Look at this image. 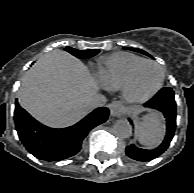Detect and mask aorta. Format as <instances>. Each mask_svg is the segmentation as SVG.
<instances>
[{
	"mask_svg": "<svg viewBox=\"0 0 194 193\" xmlns=\"http://www.w3.org/2000/svg\"><path fill=\"white\" fill-rule=\"evenodd\" d=\"M113 130L116 136L125 139L131 135V125L127 120H118L113 126Z\"/></svg>",
	"mask_w": 194,
	"mask_h": 193,
	"instance_id": "aorta-1",
	"label": "aorta"
}]
</instances>
